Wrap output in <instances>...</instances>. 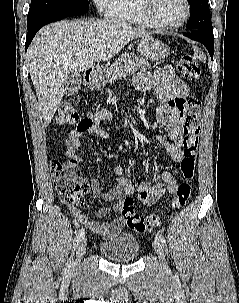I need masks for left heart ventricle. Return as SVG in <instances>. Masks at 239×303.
<instances>
[{"instance_id": "obj_1", "label": "left heart ventricle", "mask_w": 239, "mask_h": 303, "mask_svg": "<svg viewBox=\"0 0 239 303\" xmlns=\"http://www.w3.org/2000/svg\"><path fill=\"white\" fill-rule=\"evenodd\" d=\"M153 15L160 23H176L185 15V4L183 0H155Z\"/></svg>"}]
</instances>
